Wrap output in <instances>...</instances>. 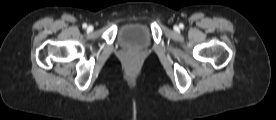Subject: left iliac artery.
I'll return each mask as SVG.
<instances>
[{
  "label": "left iliac artery",
  "mask_w": 276,
  "mask_h": 120,
  "mask_svg": "<svg viewBox=\"0 0 276 120\" xmlns=\"http://www.w3.org/2000/svg\"><path fill=\"white\" fill-rule=\"evenodd\" d=\"M179 27L183 29L184 25L181 23V24H179Z\"/></svg>",
  "instance_id": "left-iliac-artery-1"
}]
</instances>
